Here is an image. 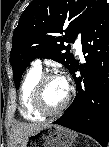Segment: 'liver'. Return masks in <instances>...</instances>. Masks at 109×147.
I'll use <instances>...</instances> for the list:
<instances>
[{
    "mask_svg": "<svg viewBox=\"0 0 109 147\" xmlns=\"http://www.w3.org/2000/svg\"><path fill=\"white\" fill-rule=\"evenodd\" d=\"M47 125L41 123L17 124L11 131V147H26L28 137Z\"/></svg>",
    "mask_w": 109,
    "mask_h": 147,
    "instance_id": "liver-1",
    "label": "liver"
}]
</instances>
